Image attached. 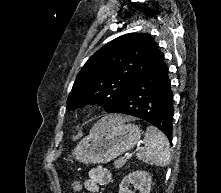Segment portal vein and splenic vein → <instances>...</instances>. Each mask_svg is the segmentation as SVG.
<instances>
[{"label":"portal vein and splenic vein","instance_id":"1","mask_svg":"<svg viewBox=\"0 0 221 193\" xmlns=\"http://www.w3.org/2000/svg\"><path fill=\"white\" fill-rule=\"evenodd\" d=\"M124 159H127L128 158V155H124V157H123Z\"/></svg>","mask_w":221,"mask_h":193}]
</instances>
